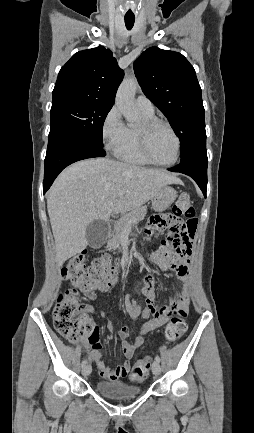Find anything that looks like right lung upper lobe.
I'll return each instance as SVG.
<instances>
[{
  "instance_id": "right-lung-upper-lobe-1",
  "label": "right lung upper lobe",
  "mask_w": 254,
  "mask_h": 433,
  "mask_svg": "<svg viewBox=\"0 0 254 433\" xmlns=\"http://www.w3.org/2000/svg\"><path fill=\"white\" fill-rule=\"evenodd\" d=\"M123 76L109 49L99 46L79 51L61 68L52 105L78 100L113 106Z\"/></svg>"
}]
</instances>
